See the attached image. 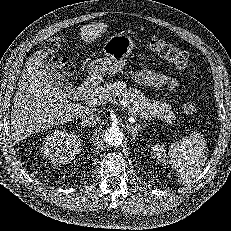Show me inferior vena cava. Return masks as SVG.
Masks as SVG:
<instances>
[{"mask_svg":"<svg viewBox=\"0 0 231 231\" xmlns=\"http://www.w3.org/2000/svg\"><path fill=\"white\" fill-rule=\"evenodd\" d=\"M101 119L97 115L87 114L82 118L81 125L84 127H95L99 125Z\"/></svg>","mask_w":231,"mask_h":231,"instance_id":"1","label":"inferior vena cava"}]
</instances>
